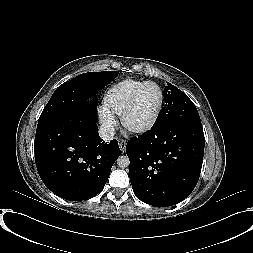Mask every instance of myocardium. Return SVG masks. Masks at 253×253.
Returning <instances> with one entry per match:
<instances>
[{
	"instance_id": "myocardium-1",
	"label": "myocardium",
	"mask_w": 253,
	"mask_h": 253,
	"mask_svg": "<svg viewBox=\"0 0 253 253\" xmlns=\"http://www.w3.org/2000/svg\"><path fill=\"white\" fill-rule=\"evenodd\" d=\"M148 85H153L159 90V92H160L159 105H158L152 119L146 125L141 126V127L131 126L128 122L129 115L132 112V110L137 102L139 94ZM164 102H165V94H164L162 87L158 83H156L154 81L143 82L134 90V92L130 96L125 108L123 109V112L121 114L122 125L124 126V128L127 131H129L130 133H133V134H144V133L150 131L156 125V123L161 115V112H162L163 106H164Z\"/></svg>"
}]
</instances>
